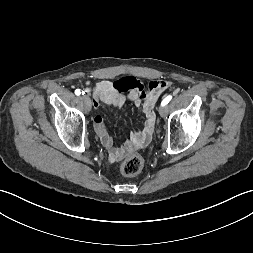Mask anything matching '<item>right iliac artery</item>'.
Here are the masks:
<instances>
[{
    "instance_id": "1",
    "label": "right iliac artery",
    "mask_w": 253,
    "mask_h": 253,
    "mask_svg": "<svg viewBox=\"0 0 253 253\" xmlns=\"http://www.w3.org/2000/svg\"><path fill=\"white\" fill-rule=\"evenodd\" d=\"M75 94L78 96V95L81 94V91H80L79 89H76V90H75Z\"/></svg>"
}]
</instances>
